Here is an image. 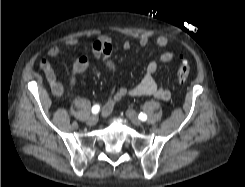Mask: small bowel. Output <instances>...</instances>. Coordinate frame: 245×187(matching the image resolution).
<instances>
[{"label": "small bowel", "mask_w": 245, "mask_h": 187, "mask_svg": "<svg viewBox=\"0 0 245 187\" xmlns=\"http://www.w3.org/2000/svg\"><path fill=\"white\" fill-rule=\"evenodd\" d=\"M149 37L147 35H141L139 37V44L141 46H146L149 43ZM77 44L76 39H69L66 41L67 46H74ZM156 45L159 48H164L168 45V38L166 36H159L156 39ZM122 47L125 50L130 49L131 44L128 40L123 41ZM113 52V41L110 37H101L95 40L91 45V54L94 57L101 58L107 67L110 69L113 75L117 73V66L112 59ZM61 53V48L57 45L52 46L47 55L50 58H55ZM176 57L174 51L168 50L162 52L156 59L150 61L146 67L145 75L139 83L131 87L116 86L114 85L108 100L103 104L102 111L105 115L109 114L113 109L116 102L125 95L130 96H153L157 99L168 101L172 98L171 91L159 86L154 79V74L156 73L158 67L162 63H167ZM90 64V59L88 56L83 55L77 58L72 64L68 84L70 92H73V88L77 83L78 76L85 72ZM39 67L43 72L52 93L55 96H61L64 93L63 85L57 80L56 73L52 67L51 62L44 58L40 61Z\"/></svg>", "instance_id": "obj_1"}]
</instances>
